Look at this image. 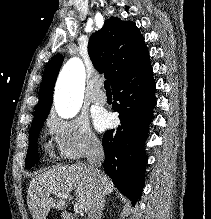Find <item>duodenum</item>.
I'll list each match as a JSON object with an SVG mask.
<instances>
[{
    "label": "duodenum",
    "instance_id": "duodenum-1",
    "mask_svg": "<svg viewBox=\"0 0 211 219\" xmlns=\"http://www.w3.org/2000/svg\"><path fill=\"white\" fill-rule=\"evenodd\" d=\"M62 218L63 219H76L71 213L67 211L62 212Z\"/></svg>",
    "mask_w": 211,
    "mask_h": 219
}]
</instances>
